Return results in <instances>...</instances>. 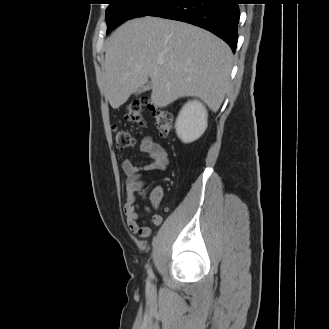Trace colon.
<instances>
[{"instance_id":"obj_1","label":"colon","mask_w":329,"mask_h":329,"mask_svg":"<svg viewBox=\"0 0 329 329\" xmlns=\"http://www.w3.org/2000/svg\"><path fill=\"white\" fill-rule=\"evenodd\" d=\"M147 104L143 98L135 99L126 105L125 119L133 124L143 126V108ZM153 120L160 135L167 137L173 130V115L167 108L153 107ZM114 136L117 146L120 149H129L135 145L134 137L126 130L114 127Z\"/></svg>"}]
</instances>
